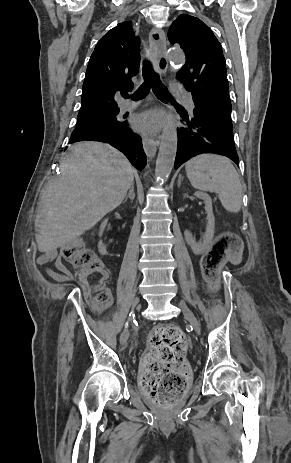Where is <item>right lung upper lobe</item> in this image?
<instances>
[{"label": "right lung upper lobe", "instance_id": "1", "mask_svg": "<svg viewBox=\"0 0 291 463\" xmlns=\"http://www.w3.org/2000/svg\"><path fill=\"white\" fill-rule=\"evenodd\" d=\"M140 52L131 22L119 23L99 40L88 63L78 119L119 111L114 95L133 87Z\"/></svg>", "mask_w": 291, "mask_h": 463}]
</instances>
